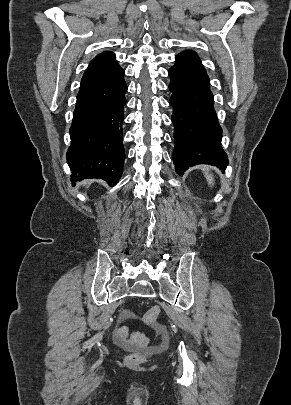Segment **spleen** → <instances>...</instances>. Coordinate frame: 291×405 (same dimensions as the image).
I'll return each mask as SVG.
<instances>
[{"label": "spleen", "mask_w": 291, "mask_h": 405, "mask_svg": "<svg viewBox=\"0 0 291 405\" xmlns=\"http://www.w3.org/2000/svg\"><path fill=\"white\" fill-rule=\"evenodd\" d=\"M205 177H206V180H207L208 184H209V185H213V182H214L213 176L210 175V174H208V173H206V174H205Z\"/></svg>", "instance_id": "obj_1"}]
</instances>
